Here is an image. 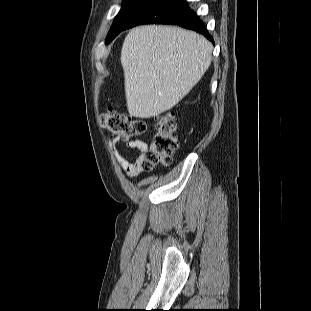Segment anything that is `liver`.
Returning <instances> with one entry per match:
<instances>
[{
    "label": "liver",
    "mask_w": 311,
    "mask_h": 311,
    "mask_svg": "<svg viewBox=\"0 0 311 311\" xmlns=\"http://www.w3.org/2000/svg\"><path fill=\"white\" fill-rule=\"evenodd\" d=\"M212 50L206 38L179 27L132 29L121 50L129 114L144 119L173 108L209 68Z\"/></svg>",
    "instance_id": "6515ba94"
}]
</instances>
